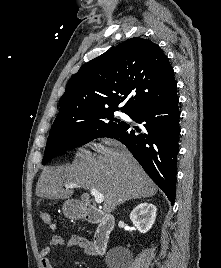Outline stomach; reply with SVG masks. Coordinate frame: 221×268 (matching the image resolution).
Wrapping results in <instances>:
<instances>
[{
    "label": "stomach",
    "mask_w": 221,
    "mask_h": 268,
    "mask_svg": "<svg viewBox=\"0 0 221 268\" xmlns=\"http://www.w3.org/2000/svg\"><path fill=\"white\" fill-rule=\"evenodd\" d=\"M64 216L69 219L78 220L84 216L85 207L74 200H68L63 204L62 207Z\"/></svg>",
    "instance_id": "stomach-1"
}]
</instances>
